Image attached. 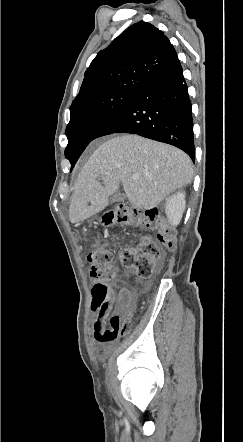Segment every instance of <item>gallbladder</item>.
Wrapping results in <instances>:
<instances>
[{
    "label": "gallbladder",
    "instance_id": "obj_1",
    "mask_svg": "<svg viewBox=\"0 0 243 442\" xmlns=\"http://www.w3.org/2000/svg\"><path fill=\"white\" fill-rule=\"evenodd\" d=\"M124 199H125V195L120 192H117L112 196L113 201H123Z\"/></svg>",
    "mask_w": 243,
    "mask_h": 442
}]
</instances>
